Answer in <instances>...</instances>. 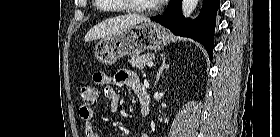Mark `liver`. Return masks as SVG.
<instances>
[{"label":"liver","instance_id":"obj_1","mask_svg":"<svg viewBox=\"0 0 280 137\" xmlns=\"http://www.w3.org/2000/svg\"><path fill=\"white\" fill-rule=\"evenodd\" d=\"M140 23H150V20L147 17L136 14H127L107 19L92 27L85 35L84 41L108 38Z\"/></svg>","mask_w":280,"mask_h":137}]
</instances>
